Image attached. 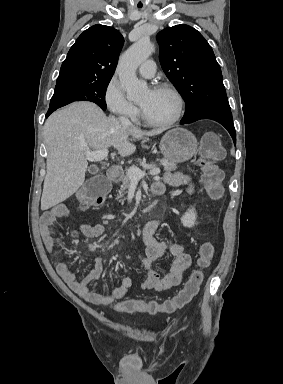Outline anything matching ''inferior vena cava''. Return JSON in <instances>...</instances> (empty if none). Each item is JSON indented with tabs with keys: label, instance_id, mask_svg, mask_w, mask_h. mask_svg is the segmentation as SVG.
Listing matches in <instances>:
<instances>
[{
	"label": "inferior vena cava",
	"instance_id": "inferior-vena-cava-1",
	"mask_svg": "<svg viewBox=\"0 0 283 384\" xmlns=\"http://www.w3.org/2000/svg\"><path fill=\"white\" fill-rule=\"evenodd\" d=\"M121 124H124V126H132L130 120H128V118H126V116H120L119 118Z\"/></svg>",
	"mask_w": 283,
	"mask_h": 384
}]
</instances>
